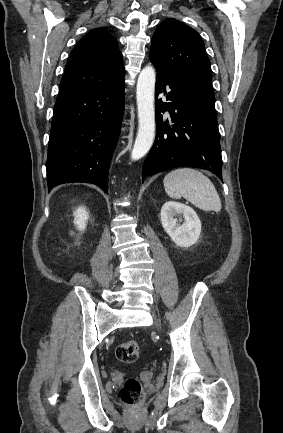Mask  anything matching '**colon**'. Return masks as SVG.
<instances>
[{
  "label": "colon",
  "mask_w": 283,
  "mask_h": 433,
  "mask_svg": "<svg viewBox=\"0 0 283 433\" xmlns=\"http://www.w3.org/2000/svg\"><path fill=\"white\" fill-rule=\"evenodd\" d=\"M139 352V344L134 340L123 342L116 348V356L123 363L135 362ZM118 396L126 404H138L143 398V390L139 381L135 378H128L121 387Z\"/></svg>",
  "instance_id": "1"
}]
</instances>
